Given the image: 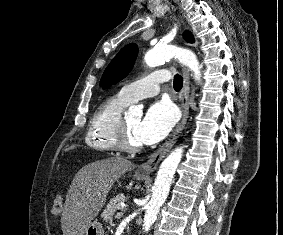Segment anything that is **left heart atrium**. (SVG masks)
I'll return each instance as SVG.
<instances>
[{
	"label": "left heart atrium",
	"instance_id": "left-heart-atrium-1",
	"mask_svg": "<svg viewBox=\"0 0 283 235\" xmlns=\"http://www.w3.org/2000/svg\"><path fill=\"white\" fill-rule=\"evenodd\" d=\"M177 116L173 105L158 101L150 106L143 120L136 128L140 143L154 144L162 140L176 123Z\"/></svg>",
	"mask_w": 283,
	"mask_h": 235
}]
</instances>
